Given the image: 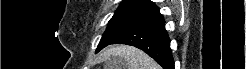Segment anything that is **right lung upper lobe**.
I'll return each instance as SVG.
<instances>
[{
	"mask_svg": "<svg viewBox=\"0 0 246 69\" xmlns=\"http://www.w3.org/2000/svg\"><path fill=\"white\" fill-rule=\"evenodd\" d=\"M156 8L157 6L149 0H124L112 18L143 16Z\"/></svg>",
	"mask_w": 246,
	"mask_h": 69,
	"instance_id": "obj_1",
	"label": "right lung upper lobe"
}]
</instances>
